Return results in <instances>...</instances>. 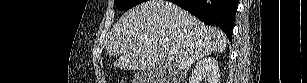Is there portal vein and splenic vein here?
<instances>
[{
  "instance_id": "18ae733b",
  "label": "portal vein and splenic vein",
  "mask_w": 307,
  "mask_h": 83,
  "mask_svg": "<svg viewBox=\"0 0 307 83\" xmlns=\"http://www.w3.org/2000/svg\"><path fill=\"white\" fill-rule=\"evenodd\" d=\"M169 54L170 55H175L176 54V50L175 49H170L169 50Z\"/></svg>"
}]
</instances>
